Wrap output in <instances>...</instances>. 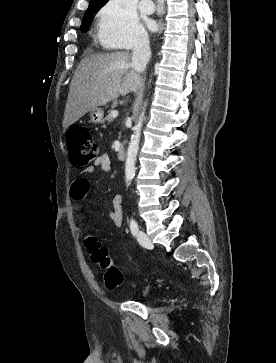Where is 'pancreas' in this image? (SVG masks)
<instances>
[{"label":"pancreas","instance_id":"obj_1","mask_svg":"<svg viewBox=\"0 0 276 363\" xmlns=\"http://www.w3.org/2000/svg\"><path fill=\"white\" fill-rule=\"evenodd\" d=\"M111 112H112V111H109L108 115H107V116H106V118H105V121H108V122L113 121V119H114V118L112 117Z\"/></svg>","mask_w":276,"mask_h":363}]
</instances>
